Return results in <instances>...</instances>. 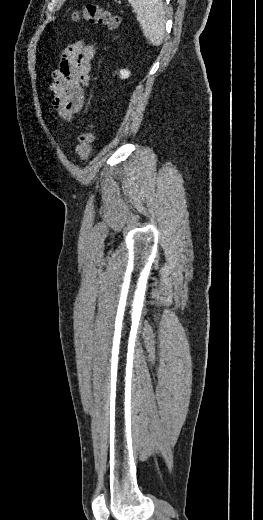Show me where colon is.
<instances>
[{
	"label": "colon",
	"instance_id": "5ec220e1",
	"mask_svg": "<svg viewBox=\"0 0 263 520\" xmlns=\"http://www.w3.org/2000/svg\"><path fill=\"white\" fill-rule=\"evenodd\" d=\"M69 19L74 22L84 19L91 24L100 25L110 32L118 31L121 24L120 16L112 14L101 6L92 3L86 4L82 9L73 10L70 13ZM93 139L91 125H86L79 134L78 145L76 147V154L79 161L83 162L90 157Z\"/></svg>",
	"mask_w": 263,
	"mask_h": 520
}]
</instances>
